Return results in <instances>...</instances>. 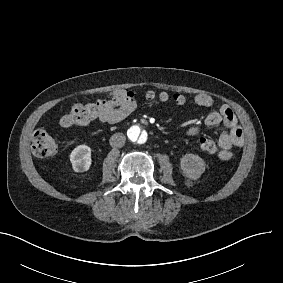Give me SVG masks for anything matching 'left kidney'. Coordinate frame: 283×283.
I'll list each match as a JSON object with an SVG mask.
<instances>
[{
	"label": "left kidney",
	"mask_w": 283,
	"mask_h": 283,
	"mask_svg": "<svg viewBox=\"0 0 283 283\" xmlns=\"http://www.w3.org/2000/svg\"><path fill=\"white\" fill-rule=\"evenodd\" d=\"M180 166L184 176L196 180L205 171V162L198 155L185 154L180 160Z\"/></svg>",
	"instance_id": "5707ae66"
}]
</instances>
